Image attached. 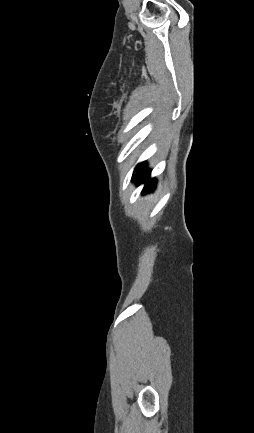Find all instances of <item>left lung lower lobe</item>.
<instances>
[{"label":"left lung lower lobe","instance_id":"left-lung-lower-lobe-1","mask_svg":"<svg viewBox=\"0 0 254 433\" xmlns=\"http://www.w3.org/2000/svg\"><path fill=\"white\" fill-rule=\"evenodd\" d=\"M149 175L150 170L147 169L145 162H143L136 167L132 176V180L136 182V184H141L146 181L144 193L152 191L156 184L153 179H148Z\"/></svg>","mask_w":254,"mask_h":433}]
</instances>
